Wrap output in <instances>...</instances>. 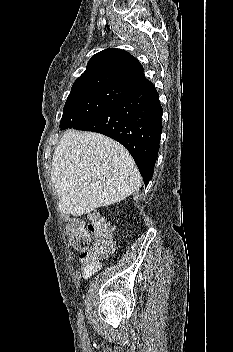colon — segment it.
Instances as JSON below:
<instances>
[{
    "label": "colon",
    "mask_w": 233,
    "mask_h": 352,
    "mask_svg": "<svg viewBox=\"0 0 233 352\" xmlns=\"http://www.w3.org/2000/svg\"><path fill=\"white\" fill-rule=\"evenodd\" d=\"M71 246L79 253L83 274L90 276L100 267V261L106 258L115 247L108 228L97 216H92L85 225L73 221L67 226ZM92 236L95 241L91 244Z\"/></svg>",
    "instance_id": "1"
}]
</instances>
